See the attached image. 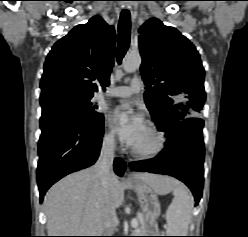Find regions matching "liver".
Masks as SVG:
<instances>
[{"label": "liver", "instance_id": "liver-1", "mask_svg": "<svg viewBox=\"0 0 248 237\" xmlns=\"http://www.w3.org/2000/svg\"><path fill=\"white\" fill-rule=\"evenodd\" d=\"M135 179L161 192L166 184H177L167 176L139 173ZM132 180H109L108 195L114 208L124 200V190ZM48 236H98L104 230L106 207L101 180L95 166L70 174L54 184L44 198Z\"/></svg>", "mask_w": 248, "mask_h": 237}]
</instances>
